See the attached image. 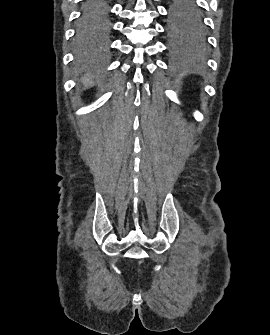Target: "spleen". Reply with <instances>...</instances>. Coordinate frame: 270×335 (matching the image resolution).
<instances>
[{
  "mask_svg": "<svg viewBox=\"0 0 270 335\" xmlns=\"http://www.w3.org/2000/svg\"><path fill=\"white\" fill-rule=\"evenodd\" d=\"M190 60H192V62H193V60H196L195 54H192V56H190Z\"/></svg>",
  "mask_w": 270,
  "mask_h": 335,
  "instance_id": "3e777b00",
  "label": "spleen"
}]
</instances>
